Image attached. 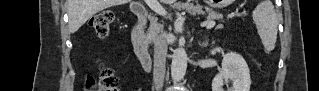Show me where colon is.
Masks as SVG:
<instances>
[{"label":"colon","instance_id":"obj_1","mask_svg":"<svg viewBox=\"0 0 319 91\" xmlns=\"http://www.w3.org/2000/svg\"><path fill=\"white\" fill-rule=\"evenodd\" d=\"M113 20V13L100 12L90 19V26L98 36H105L109 32ZM117 85L118 80L112 71L108 68H102L98 77L88 76L86 78L84 89L86 91H116Z\"/></svg>","mask_w":319,"mask_h":91}]
</instances>
